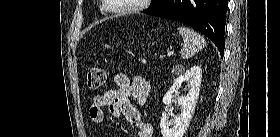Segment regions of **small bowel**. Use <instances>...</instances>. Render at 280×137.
Instances as JSON below:
<instances>
[{
    "label": "small bowel",
    "mask_w": 280,
    "mask_h": 137,
    "mask_svg": "<svg viewBox=\"0 0 280 137\" xmlns=\"http://www.w3.org/2000/svg\"><path fill=\"white\" fill-rule=\"evenodd\" d=\"M116 87L92 97L89 105V116L92 122L100 123L104 119L103 108L108 107L114 118L124 117L137 128L138 137H151L152 126L146 122L132 101L141 104L146 101L150 93V84L142 76L132 79L123 72L116 73L113 78Z\"/></svg>",
    "instance_id": "obj_1"
}]
</instances>
